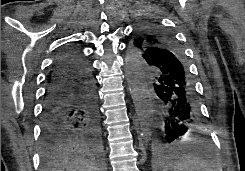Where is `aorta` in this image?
<instances>
[{"label": "aorta", "mask_w": 245, "mask_h": 171, "mask_svg": "<svg viewBox=\"0 0 245 171\" xmlns=\"http://www.w3.org/2000/svg\"><path fill=\"white\" fill-rule=\"evenodd\" d=\"M139 61V55L135 51H129L125 57V73L139 116L143 142L148 143L151 138L150 127L154 121L155 96L150 82L144 76L143 67L138 64Z\"/></svg>", "instance_id": "1"}]
</instances>
